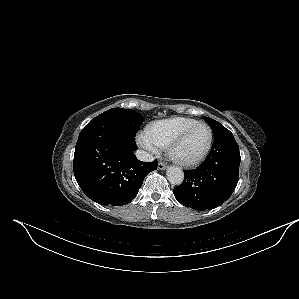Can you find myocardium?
<instances>
[{
    "label": "myocardium",
    "instance_id": "1",
    "mask_svg": "<svg viewBox=\"0 0 299 299\" xmlns=\"http://www.w3.org/2000/svg\"><path fill=\"white\" fill-rule=\"evenodd\" d=\"M205 126L208 129L209 132V139L207 142V145L205 147V149L195 158L193 159H182L180 158L177 154H176V150L179 147V145L183 142V140L185 139V137L187 136V134L196 126ZM212 143H213V131L211 129V127L205 123V122H200L197 121L193 124H191L190 126L186 127L184 130H182L169 144V146L167 147V151H168V155L170 157V159L175 162L176 164L180 165V166H185V167H189V166H194L197 165L198 163H200L202 160H204V158L208 155V153L211 150L212 147Z\"/></svg>",
    "mask_w": 299,
    "mask_h": 299
}]
</instances>
